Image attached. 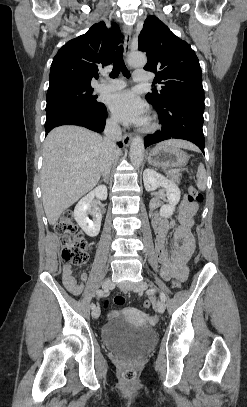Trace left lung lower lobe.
<instances>
[{
    "instance_id": "left-lung-lower-lobe-1",
    "label": "left lung lower lobe",
    "mask_w": 247,
    "mask_h": 407,
    "mask_svg": "<svg viewBox=\"0 0 247 407\" xmlns=\"http://www.w3.org/2000/svg\"><path fill=\"white\" fill-rule=\"evenodd\" d=\"M155 109L162 128L145 137V147L176 138L193 142L204 153L205 139L202 130L204 101L178 98L170 100L163 109Z\"/></svg>"
}]
</instances>
